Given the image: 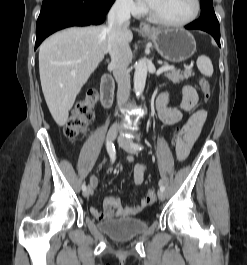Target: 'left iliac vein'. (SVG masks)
<instances>
[{"mask_svg":"<svg viewBox=\"0 0 247 265\" xmlns=\"http://www.w3.org/2000/svg\"><path fill=\"white\" fill-rule=\"evenodd\" d=\"M118 143L119 145L127 152L132 153V154H136L137 150L133 147V143L130 139L124 138L122 136L118 137ZM158 198L160 200H164L165 199V193L164 191L159 190L158 191Z\"/></svg>","mask_w":247,"mask_h":265,"instance_id":"obj_1","label":"left iliac vein"}]
</instances>
